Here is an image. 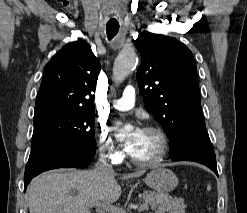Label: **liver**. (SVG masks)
Masks as SVG:
<instances>
[{"label": "liver", "instance_id": "obj_1", "mask_svg": "<svg viewBox=\"0 0 247 213\" xmlns=\"http://www.w3.org/2000/svg\"><path fill=\"white\" fill-rule=\"evenodd\" d=\"M143 171L122 179L143 175ZM116 174L92 170H52L32 180L27 189L30 213H91L96 202L110 204L122 190Z\"/></svg>", "mask_w": 247, "mask_h": 213}]
</instances>
